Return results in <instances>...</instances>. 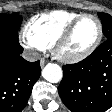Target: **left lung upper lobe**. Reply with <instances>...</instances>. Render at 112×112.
I'll return each mask as SVG.
<instances>
[{"label":"left lung upper lobe","mask_w":112,"mask_h":112,"mask_svg":"<svg viewBox=\"0 0 112 112\" xmlns=\"http://www.w3.org/2000/svg\"><path fill=\"white\" fill-rule=\"evenodd\" d=\"M103 26V33L106 39L112 38V16L106 13H98Z\"/></svg>","instance_id":"5c2ea615"}]
</instances>
